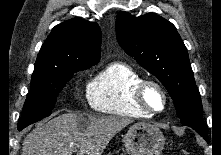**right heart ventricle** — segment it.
<instances>
[{
    "instance_id": "obj_1",
    "label": "right heart ventricle",
    "mask_w": 221,
    "mask_h": 155,
    "mask_svg": "<svg viewBox=\"0 0 221 155\" xmlns=\"http://www.w3.org/2000/svg\"><path fill=\"white\" fill-rule=\"evenodd\" d=\"M142 76L130 65L114 62L101 70L89 83L87 99L97 112L147 118L151 115L138 107L134 100V90Z\"/></svg>"
}]
</instances>
